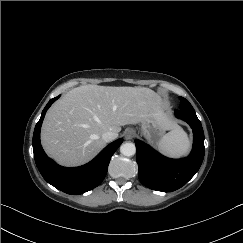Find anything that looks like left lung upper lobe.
I'll return each instance as SVG.
<instances>
[{
	"label": "left lung upper lobe",
	"instance_id": "obj_1",
	"mask_svg": "<svg viewBox=\"0 0 243 243\" xmlns=\"http://www.w3.org/2000/svg\"><path fill=\"white\" fill-rule=\"evenodd\" d=\"M181 100V104H180V110L187 112V113H191V114H196L193 107L191 106V104L188 102V100H186L183 97H180Z\"/></svg>",
	"mask_w": 243,
	"mask_h": 243
}]
</instances>
